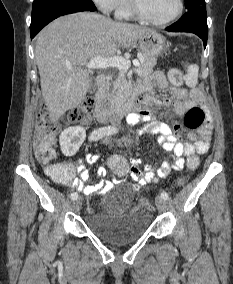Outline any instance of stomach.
Instances as JSON below:
<instances>
[{"label": "stomach", "instance_id": "obj_1", "mask_svg": "<svg viewBox=\"0 0 233 284\" xmlns=\"http://www.w3.org/2000/svg\"><path fill=\"white\" fill-rule=\"evenodd\" d=\"M139 46L144 55L156 59L166 49V39L155 31L146 32L140 37Z\"/></svg>", "mask_w": 233, "mask_h": 284}]
</instances>
